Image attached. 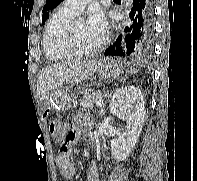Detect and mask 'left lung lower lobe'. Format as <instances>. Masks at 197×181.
Wrapping results in <instances>:
<instances>
[{"label":"left lung lower lobe","instance_id":"0a47b994","mask_svg":"<svg viewBox=\"0 0 197 181\" xmlns=\"http://www.w3.org/2000/svg\"><path fill=\"white\" fill-rule=\"evenodd\" d=\"M130 19L131 24L125 28V34L120 35L106 49L105 56L135 58L151 54L154 36L153 0H133Z\"/></svg>","mask_w":197,"mask_h":181}]
</instances>
